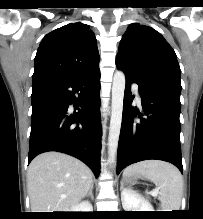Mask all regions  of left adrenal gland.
<instances>
[{
    "label": "left adrenal gland",
    "instance_id": "left-adrenal-gland-1",
    "mask_svg": "<svg viewBox=\"0 0 203 219\" xmlns=\"http://www.w3.org/2000/svg\"><path fill=\"white\" fill-rule=\"evenodd\" d=\"M123 187H124V182H123V180H122V181H121L120 190H122V189H123Z\"/></svg>",
    "mask_w": 203,
    "mask_h": 219
}]
</instances>
